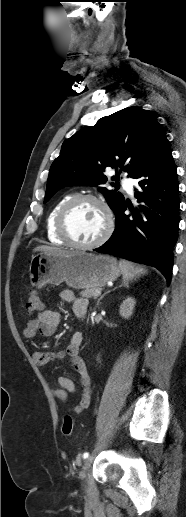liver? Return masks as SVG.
Wrapping results in <instances>:
<instances>
[{
    "mask_svg": "<svg viewBox=\"0 0 186 517\" xmlns=\"http://www.w3.org/2000/svg\"><path fill=\"white\" fill-rule=\"evenodd\" d=\"M41 251L45 254H52V255H58V256H68L72 254L73 252L63 250L61 248L52 247V246H38L34 249V252Z\"/></svg>",
    "mask_w": 186,
    "mask_h": 517,
    "instance_id": "obj_1",
    "label": "liver"
}]
</instances>
